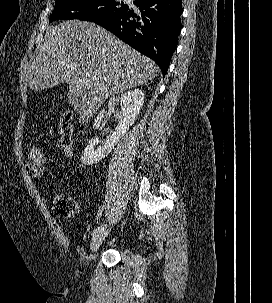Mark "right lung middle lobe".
<instances>
[{
  "label": "right lung middle lobe",
  "instance_id": "1",
  "mask_svg": "<svg viewBox=\"0 0 272 303\" xmlns=\"http://www.w3.org/2000/svg\"><path fill=\"white\" fill-rule=\"evenodd\" d=\"M127 8L114 0H56L49 21L79 19L96 22L119 14Z\"/></svg>",
  "mask_w": 272,
  "mask_h": 303
}]
</instances>
